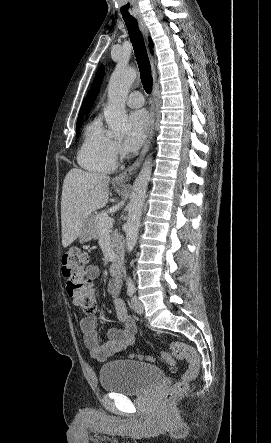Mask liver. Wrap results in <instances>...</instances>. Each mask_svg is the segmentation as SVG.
Masks as SVG:
<instances>
[{"mask_svg": "<svg viewBox=\"0 0 271 443\" xmlns=\"http://www.w3.org/2000/svg\"><path fill=\"white\" fill-rule=\"evenodd\" d=\"M109 176H99L73 168L62 188V245L67 247L80 235L82 223L92 212L105 208L109 200Z\"/></svg>", "mask_w": 271, "mask_h": 443, "instance_id": "6515ba94", "label": "liver"}]
</instances>
